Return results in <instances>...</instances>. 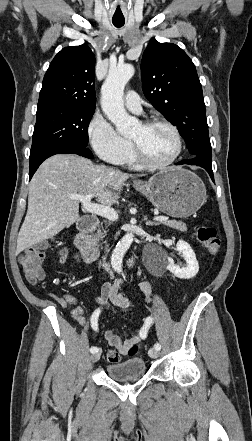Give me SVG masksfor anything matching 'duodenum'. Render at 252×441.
I'll use <instances>...</instances> for the list:
<instances>
[{"label":"duodenum","mask_w":252,"mask_h":441,"mask_svg":"<svg viewBox=\"0 0 252 441\" xmlns=\"http://www.w3.org/2000/svg\"><path fill=\"white\" fill-rule=\"evenodd\" d=\"M99 226V219L96 216L86 217L80 227L79 233L76 235L74 244L76 248L81 252L83 258L90 263H93L99 258V251L94 246L92 239L89 237V233L95 230ZM133 263V259L129 261V265Z\"/></svg>","instance_id":"obj_1"}]
</instances>
